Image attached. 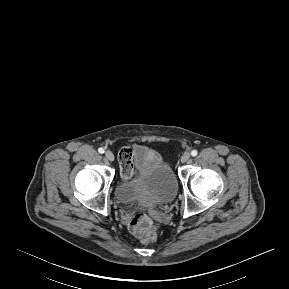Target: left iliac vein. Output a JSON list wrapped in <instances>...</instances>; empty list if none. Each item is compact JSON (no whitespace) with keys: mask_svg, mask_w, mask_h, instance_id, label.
I'll return each instance as SVG.
<instances>
[{"mask_svg":"<svg viewBox=\"0 0 289 289\" xmlns=\"http://www.w3.org/2000/svg\"><path fill=\"white\" fill-rule=\"evenodd\" d=\"M190 159V153L185 152L182 156H181V162L185 163Z\"/></svg>","mask_w":289,"mask_h":289,"instance_id":"left-iliac-vein-1","label":"left iliac vein"}]
</instances>
